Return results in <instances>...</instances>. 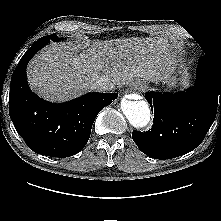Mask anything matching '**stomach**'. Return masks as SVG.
<instances>
[{"mask_svg": "<svg viewBox=\"0 0 221 221\" xmlns=\"http://www.w3.org/2000/svg\"><path fill=\"white\" fill-rule=\"evenodd\" d=\"M137 82L146 84L145 80H138ZM164 83H166L169 87H174L176 85V80L174 78L168 77L167 79L164 80Z\"/></svg>", "mask_w": 221, "mask_h": 221, "instance_id": "obj_1", "label": "stomach"}]
</instances>
